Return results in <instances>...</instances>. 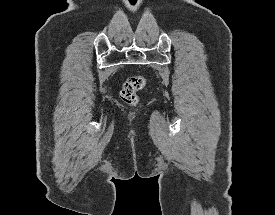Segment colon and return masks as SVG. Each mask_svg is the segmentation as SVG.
I'll list each match as a JSON object with an SVG mask.
<instances>
[{"instance_id": "obj_1", "label": "colon", "mask_w": 275, "mask_h": 215, "mask_svg": "<svg viewBox=\"0 0 275 215\" xmlns=\"http://www.w3.org/2000/svg\"><path fill=\"white\" fill-rule=\"evenodd\" d=\"M146 85V79L141 75L128 77L120 90L121 100L128 104L134 105L138 101L137 93Z\"/></svg>"}]
</instances>
